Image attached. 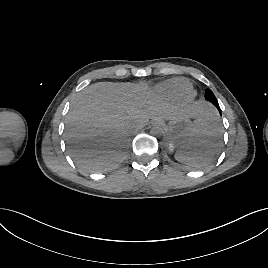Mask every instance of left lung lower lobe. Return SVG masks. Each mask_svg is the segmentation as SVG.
<instances>
[{
	"instance_id": "obj_1",
	"label": "left lung lower lobe",
	"mask_w": 268,
	"mask_h": 268,
	"mask_svg": "<svg viewBox=\"0 0 268 268\" xmlns=\"http://www.w3.org/2000/svg\"><path fill=\"white\" fill-rule=\"evenodd\" d=\"M213 105H215V107L218 109V111H219V112H220V114H221V109H220V107H219L218 102H217V103H214Z\"/></svg>"
}]
</instances>
